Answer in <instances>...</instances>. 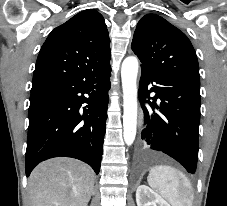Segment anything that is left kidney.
<instances>
[{"mask_svg":"<svg viewBox=\"0 0 227 206\" xmlns=\"http://www.w3.org/2000/svg\"><path fill=\"white\" fill-rule=\"evenodd\" d=\"M137 206H170L160 195L146 185H140L136 191Z\"/></svg>","mask_w":227,"mask_h":206,"instance_id":"5707ae66","label":"left kidney"}]
</instances>
